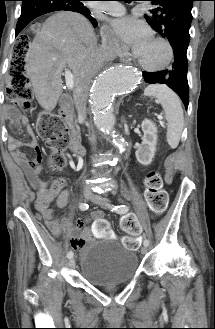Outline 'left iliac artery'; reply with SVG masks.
I'll return each instance as SVG.
<instances>
[{"label": "left iliac artery", "mask_w": 215, "mask_h": 329, "mask_svg": "<svg viewBox=\"0 0 215 329\" xmlns=\"http://www.w3.org/2000/svg\"><path fill=\"white\" fill-rule=\"evenodd\" d=\"M111 211L116 212L118 214H125L128 211V207L126 205H109ZM149 240H144V245L149 246Z\"/></svg>", "instance_id": "obj_1"}]
</instances>
